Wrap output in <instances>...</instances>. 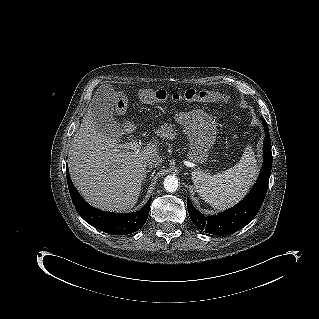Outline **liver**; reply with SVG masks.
Masks as SVG:
<instances>
[{
	"mask_svg": "<svg viewBox=\"0 0 319 319\" xmlns=\"http://www.w3.org/2000/svg\"><path fill=\"white\" fill-rule=\"evenodd\" d=\"M124 124L115 133L99 131L90 104L69 150V172L76 188L88 203L106 211L124 212L135 206L146 160L159 152L156 139L138 152L117 149L120 138L137 128L129 121Z\"/></svg>",
	"mask_w": 319,
	"mask_h": 319,
	"instance_id": "liver-1",
	"label": "liver"
}]
</instances>
